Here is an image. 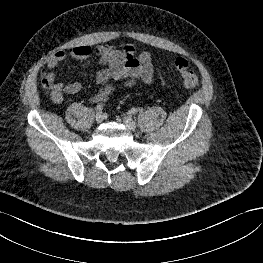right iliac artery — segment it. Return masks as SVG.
I'll return each mask as SVG.
<instances>
[{"mask_svg":"<svg viewBox=\"0 0 263 263\" xmlns=\"http://www.w3.org/2000/svg\"><path fill=\"white\" fill-rule=\"evenodd\" d=\"M103 108H104V106L102 104H99V105H97L96 110L100 112L103 110Z\"/></svg>","mask_w":263,"mask_h":263,"instance_id":"1","label":"right iliac artery"}]
</instances>
